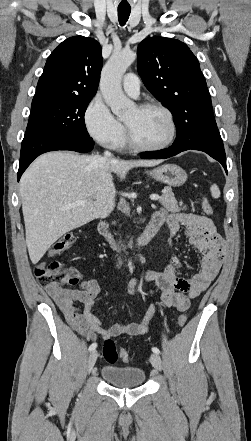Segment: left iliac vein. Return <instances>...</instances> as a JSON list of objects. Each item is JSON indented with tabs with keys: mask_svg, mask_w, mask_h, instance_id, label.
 Wrapping results in <instances>:
<instances>
[{
	"mask_svg": "<svg viewBox=\"0 0 251 441\" xmlns=\"http://www.w3.org/2000/svg\"><path fill=\"white\" fill-rule=\"evenodd\" d=\"M150 362L156 370H158V371L162 370V360L158 354H156V353L151 354Z\"/></svg>",
	"mask_w": 251,
	"mask_h": 441,
	"instance_id": "left-iliac-vein-1",
	"label": "left iliac vein"
}]
</instances>
